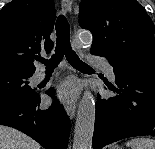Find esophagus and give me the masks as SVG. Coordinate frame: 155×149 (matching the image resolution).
Listing matches in <instances>:
<instances>
[{"instance_id": "obj_1", "label": "esophagus", "mask_w": 155, "mask_h": 149, "mask_svg": "<svg viewBox=\"0 0 155 149\" xmlns=\"http://www.w3.org/2000/svg\"><path fill=\"white\" fill-rule=\"evenodd\" d=\"M62 9L65 13H70L72 8L71 0H62L61 1ZM66 112L70 119H73L76 112V104L75 102H70L66 105Z\"/></svg>"}]
</instances>
